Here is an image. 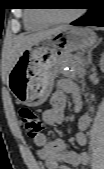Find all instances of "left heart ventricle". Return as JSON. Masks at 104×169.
<instances>
[{
	"instance_id": "obj_1",
	"label": "left heart ventricle",
	"mask_w": 104,
	"mask_h": 169,
	"mask_svg": "<svg viewBox=\"0 0 104 169\" xmlns=\"http://www.w3.org/2000/svg\"><path fill=\"white\" fill-rule=\"evenodd\" d=\"M72 10V9H71ZM69 10H57L52 13L53 17L63 18L69 16L73 11Z\"/></svg>"
}]
</instances>
